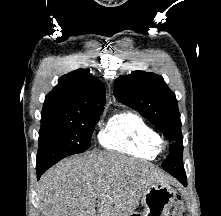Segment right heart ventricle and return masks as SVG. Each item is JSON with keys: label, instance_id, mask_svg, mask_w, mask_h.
<instances>
[{"label": "right heart ventricle", "instance_id": "1", "mask_svg": "<svg viewBox=\"0 0 221 216\" xmlns=\"http://www.w3.org/2000/svg\"><path fill=\"white\" fill-rule=\"evenodd\" d=\"M156 133L146 120L133 111L113 114L102 127L98 140L110 151L142 159H154Z\"/></svg>", "mask_w": 221, "mask_h": 216}]
</instances>
